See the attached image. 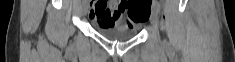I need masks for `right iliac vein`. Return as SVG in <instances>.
<instances>
[{
  "instance_id": "obj_1",
  "label": "right iliac vein",
  "mask_w": 235,
  "mask_h": 62,
  "mask_svg": "<svg viewBox=\"0 0 235 62\" xmlns=\"http://www.w3.org/2000/svg\"><path fill=\"white\" fill-rule=\"evenodd\" d=\"M82 12H83V15H86L87 12H88V5L87 4H83L82 6Z\"/></svg>"
}]
</instances>
